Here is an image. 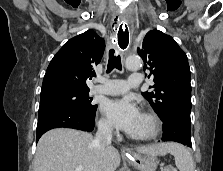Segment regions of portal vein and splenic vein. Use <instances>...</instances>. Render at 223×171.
Wrapping results in <instances>:
<instances>
[{
  "label": "portal vein and splenic vein",
  "mask_w": 223,
  "mask_h": 171,
  "mask_svg": "<svg viewBox=\"0 0 223 171\" xmlns=\"http://www.w3.org/2000/svg\"><path fill=\"white\" fill-rule=\"evenodd\" d=\"M82 166H78L76 169H75V171H82Z\"/></svg>",
  "instance_id": "18ae733b"
}]
</instances>
